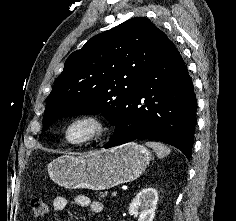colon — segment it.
Returning a JSON list of instances; mask_svg holds the SVG:
<instances>
[{"label": "colon", "mask_w": 236, "mask_h": 221, "mask_svg": "<svg viewBox=\"0 0 236 221\" xmlns=\"http://www.w3.org/2000/svg\"><path fill=\"white\" fill-rule=\"evenodd\" d=\"M31 214L35 218L42 217L47 209V204L42 197H32L29 201Z\"/></svg>", "instance_id": "obj_1"}]
</instances>
